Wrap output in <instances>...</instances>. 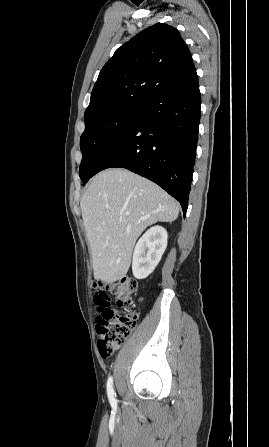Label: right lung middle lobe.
<instances>
[{
	"label": "right lung middle lobe",
	"instance_id": "right-lung-middle-lobe-1",
	"mask_svg": "<svg viewBox=\"0 0 269 447\" xmlns=\"http://www.w3.org/2000/svg\"><path fill=\"white\" fill-rule=\"evenodd\" d=\"M144 112V104L121 107L85 121L80 138L82 161L79 176L84 181L92 165L125 131L133 126Z\"/></svg>",
	"mask_w": 269,
	"mask_h": 447
}]
</instances>
